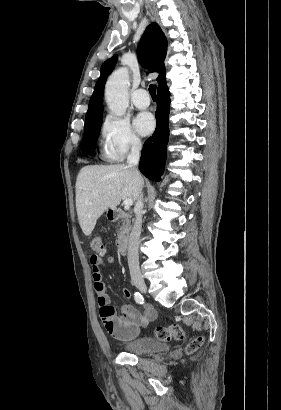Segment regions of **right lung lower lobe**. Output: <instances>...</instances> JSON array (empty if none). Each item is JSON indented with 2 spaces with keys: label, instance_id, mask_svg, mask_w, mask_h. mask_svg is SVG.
Masks as SVG:
<instances>
[{
  "label": "right lung lower lobe",
  "instance_id": "98d812e1",
  "mask_svg": "<svg viewBox=\"0 0 281 410\" xmlns=\"http://www.w3.org/2000/svg\"><path fill=\"white\" fill-rule=\"evenodd\" d=\"M170 93L167 85L158 88L157 93V127L143 146L139 163L140 171L149 179L160 181L166 160V147L169 138Z\"/></svg>",
  "mask_w": 281,
  "mask_h": 410
}]
</instances>
